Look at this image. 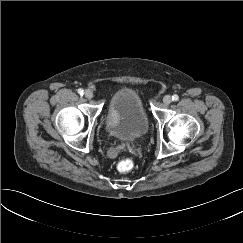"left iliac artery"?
I'll return each instance as SVG.
<instances>
[{
  "label": "left iliac artery",
  "mask_w": 243,
  "mask_h": 243,
  "mask_svg": "<svg viewBox=\"0 0 243 243\" xmlns=\"http://www.w3.org/2000/svg\"><path fill=\"white\" fill-rule=\"evenodd\" d=\"M172 100H173V101H178V100H179V96L176 95V94L173 95V96H172Z\"/></svg>",
  "instance_id": "1"
}]
</instances>
